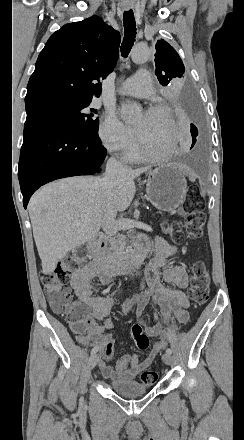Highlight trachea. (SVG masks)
Segmentation results:
<instances>
[{
    "instance_id": "trachea-1",
    "label": "trachea",
    "mask_w": 244,
    "mask_h": 440,
    "mask_svg": "<svg viewBox=\"0 0 244 440\" xmlns=\"http://www.w3.org/2000/svg\"><path fill=\"white\" fill-rule=\"evenodd\" d=\"M123 22L124 38L121 46V54L123 57H127L131 48L133 47L137 33L133 10H128L127 12H124Z\"/></svg>"
}]
</instances>
